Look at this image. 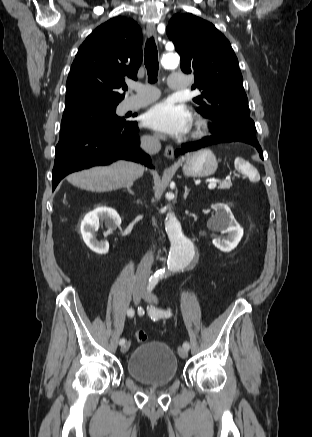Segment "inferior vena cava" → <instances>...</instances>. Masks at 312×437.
Masks as SVG:
<instances>
[{
    "label": "inferior vena cava",
    "mask_w": 312,
    "mask_h": 437,
    "mask_svg": "<svg viewBox=\"0 0 312 437\" xmlns=\"http://www.w3.org/2000/svg\"><path fill=\"white\" fill-rule=\"evenodd\" d=\"M163 136L154 134L152 136H143L141 138V148L150 154L158 152L161 148L160 139ZM154 260L153 252H148L141 260L137 268V274H149Z\"/></svg>",
    "instance_id": "inferior-vena-cava-1"
}]
</instances>
